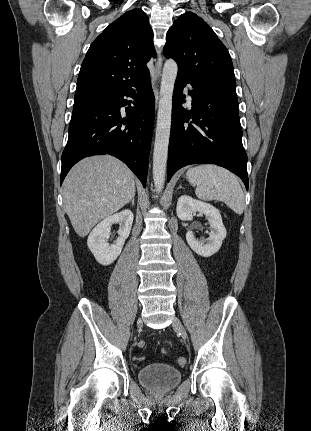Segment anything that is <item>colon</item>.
Instances as JSON below:
<instances>
[{"mask_svg":"<svg viewBox=\"0 0 311 431\" xmlns=\"http://www.w3.org/2000/svg\"><path fill=\"white\" fill-rule=\"evenodd\" d=\"M138 346H139V348L143 349V348H145L146 344H145L144 341H141V342H139ZM144 359H145V357L142 356V355H137L135 357V360H137V361H143ZM186 362L187 361H186V359L184 357H179L178 360H177V363L180 366H184L186 364Z\"/></svg>","mask_w":311,"mask_h":431,"instance_id":"colon-1","label":"colon"}]
</instances>
